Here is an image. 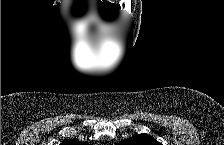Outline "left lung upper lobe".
I'll return each mask as SVG.
<instances>
[{
  "label": "left lung upper lobe",
  "mask_w": 224,
  "mask_h": 145,
  "mask_svg": "<svg viewBox=\"0 0 224 145\" xmlns=\"http://www.w3.org/2000/svg\"><path fill=\"white\" fill-rule=\"evenodd\" d=\"M120 145H161L153 137L147 134L136 135L130 139L124 140Z\"/></svg>",
  "instance_id": "left-lung-upper-lobe-1"
}]
</instances>
